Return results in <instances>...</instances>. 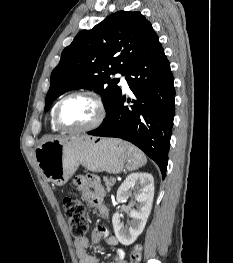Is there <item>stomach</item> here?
I'll list each match as a JSON object with an SVG mask.
<instances>
[{
  "label": "stomach",
  "mask_w": 233,
  "mask_h": 263,
  "mask_svg": "<svg viewBox=\"0 0 233 263\" xmlns=\"http://www.w3.org/2000/svg\"><path fill=\"white\" fill-rule=\"evenodd\" d=\"M35 158L44 177L62 186L82 164L92 172H121L127 161L122 140L90 136H64L44 142L35 150Z\"/></svg>",
  "instance_id": "stomach-1"
}]
</instances>
